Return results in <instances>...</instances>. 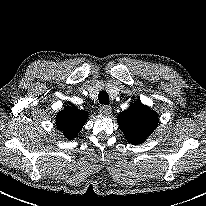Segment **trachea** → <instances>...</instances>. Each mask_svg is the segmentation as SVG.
<instances>
[{"instance_id": "trachea-1", "label": "trachea", "mask_w": 206, "mask_h": 206, "mask_svg": "<svg viewBox=\"0 0 206 206\" xmlns=\"http://www.w3.org/2000/svg\"><path fill=\"white\" fill-rule=\"evenodd\" d=\"M98 99H99V102L101 104H106V105H109L110 103V100H109V95L106 91H101L99 94H98Z\"/></svg>"}]
</instances>
